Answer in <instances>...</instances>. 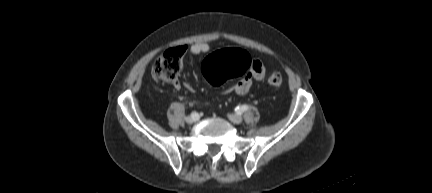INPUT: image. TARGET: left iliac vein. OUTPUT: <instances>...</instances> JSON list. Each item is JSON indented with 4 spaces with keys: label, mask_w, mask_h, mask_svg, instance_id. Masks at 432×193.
Masks as SVG:
<instances>
[{
    "label": "left iliac vein",
    "mask_w": 432,
    "mask_h": 193,
    "mask_svg": "<svg viewBox=\"0 0 432 193\" xmlns=\"http://www.w3.org/2000/svg\"><path fill=\"white\" fill-rule=\"evenodd\" d=\"M229 119H230V121H232L235 124H240L243 121L242 116H240L238 114L229 115Z\"/></svg>",
    "instance_id": "left-iliac-vein-1"
}]
</instances>
